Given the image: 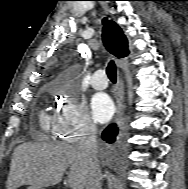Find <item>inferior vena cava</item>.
I'll return each mask as SVG.
<instances>
[{
	"label": "inferior vena cava",
	"instance_id": "obj_1",
	"mask_svg": "<svg viewBox=\"0 0 188 189\" xmlns=\"http://www.w3.org/2000/svg\"><path fill=\"white\" fill-rule=\"evenodd\" d=\"M78 148L88 158L91 167V173L87 180L85 189H101L102 173L98 160V146L96 143V126L88 123L81 130V137Z\"/></svg>",
	"mask_w": 188,
	"mask_h": 189
}]
</instances>
